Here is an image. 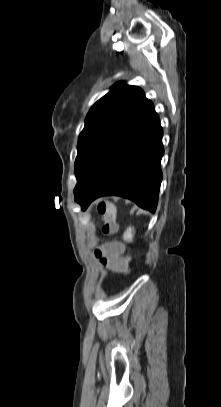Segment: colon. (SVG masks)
<instances>
[{
  "mask_svg": "<svg viewBox=\"0 0 221 407\" xmlns=\"http://www.w3.org/2000/svg\"><path fill=\"white\" fill-rule=\"evenodd\" d=\"M98 212L104 218L103 233L106 235L114 234L117 231L115 206L108 201H100ZM124 248V243L118 239H107L103 242L102 247L95 250V257L105 267L119 271L125 278H128L132 268L129 267L128 255H120Z\"/></svg>",
  "mask_w": 221,
  "mask_h": 407,
  "instance_id": "5ec220e1",
  "label": "colon"
}]
</instances>
